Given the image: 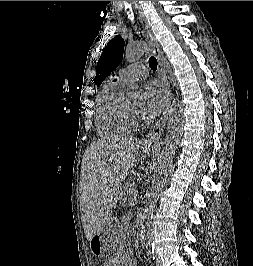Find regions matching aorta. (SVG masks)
I'll return each mask as SVG.
<instances>
[{"label": "aorta", "mask_w": 253, "mask_h": 266, "mask_svg": "<svg viewBox=\"0 0 253 266\" xmlns=\"http://www.w3.org/2000/svg\"><path fill=\"white\" fill-rule=\"evenodd\" d=\"M145 51L146 46L142 42L129 44L125 49V58L128 62H135L144 55ZM127 92L137 95L139 88L137 85H130L127 87ZM183 123L184 114L182 105L177 98H174L168 114L167 135L162 150L157 157L156 168L149 191V200L145 206L140 223L142 240L146 245H150L153 242L151 220L154 208L159 194L168 179L177 145L182 135Z\"/></svg>", "instance_id": "obj_1"}]
</instances>
